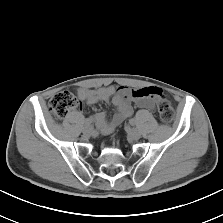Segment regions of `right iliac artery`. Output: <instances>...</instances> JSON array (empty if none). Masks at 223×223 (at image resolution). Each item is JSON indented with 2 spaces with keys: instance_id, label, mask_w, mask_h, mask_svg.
<instances>
[{
  "instance_id": "1",
  "label": "right iliac artery",
  "mask_w": 223,
  "mask_h": 223,
  "mask_svg": "<svg viewBox=\"0 0 223 223\" xmlns=\"http://www.w3.org/2000/svg\"><path fill=\"white\" fill-rule=\"evenodd\" d=\"M93 119L92 118H88L85 120L84 126H89L92 123Z\"/></svg>"
}]
</instances>
